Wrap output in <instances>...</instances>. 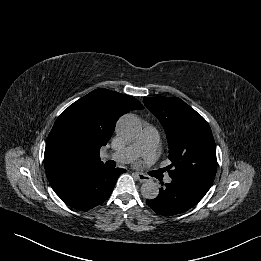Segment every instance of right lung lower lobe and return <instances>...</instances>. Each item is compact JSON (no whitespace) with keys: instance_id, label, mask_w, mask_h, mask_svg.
Instances as JSON below:
<instances>
[{"instance_id":"right-lung-lower-lobe-1","label":"right lung lower lobe","mask_w":261,"mask_h":261,"mask_svg":"<svg viewBox=\"0 0 261 261\" xmlns=\"http://www.w3.org/2000/svg\"><path fill=\"white\" fill-rule=\"evenodd\" d=\"M125 169L98 166L65 176L51 186L60 199L72 208L87 211L103 203L112 193Z\"/></svg>"}]
</instances>
